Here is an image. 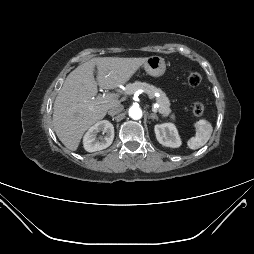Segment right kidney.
I'll return each instance as SVG.
<instances>
[{
	"mask_svg": "<svg viewBox=\"0 0 254 254\" xmlns=\"http://www.w3.org/2000/svg\"><path fill=\"white\" fill-rule=\"evenodd\" d=\"M102 132L104 136H98ZM114 139V127L107 121L102 120L90 127L83 138L84 149L87 152H95L109 147Z\"/></svg>",
	"mask_w": 254,
	"mask_h": 254,
	"instance_id": "right-kidney-1",
	"label": "right kidney"
}]
</instances>
